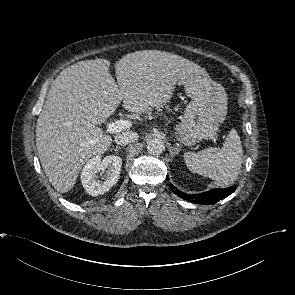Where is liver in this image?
<instances>
[{
    "instance_id": "liver-1",
    "label": "liver",
    "mask_w": 295,
    "mask_h": 295,
    "mask_svg": "<svg viewBox=\"0 0 295 295\" xmlns=\"http://www.w3.org/2000/svg\"><path fill=\"white\" fill-rule=\"evenodd\" d=\"M117 83L110 61H79L53 81L36 125V146L43 170L60 193L69 192L79 171L92 156L106 152L110 135L96 125L123 101L126 110L149 113L169 102L175 85L204 68L179 55L143 50L116 63Z\"/></svg>"
}]
</instances>
